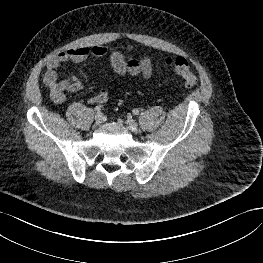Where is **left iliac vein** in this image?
<instances>
[{"mask_svg":"<svg viewBox=\"0 0 263 263\" xmlns=\"http://www.w3.org/2000/svg\"><path fill=\"white\" fill-rule=\"evenodd\" d=\"M126 125H127V127H128V129H130L131 131H137V129H138V124H137V122L135 121V120H133V119H127V121H126Z\"/></svg>","mask_w":263,"mask_h":263,"instance_id":"1","label":"left iliac vein"}]
</instances>
